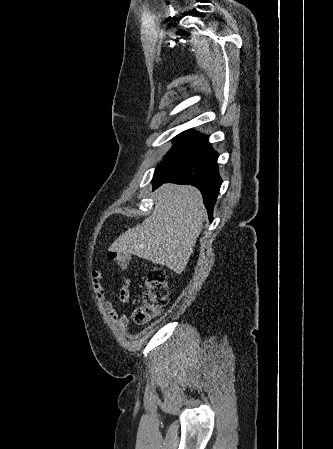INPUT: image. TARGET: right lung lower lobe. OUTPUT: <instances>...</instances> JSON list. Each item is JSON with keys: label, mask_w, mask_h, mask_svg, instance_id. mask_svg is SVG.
Here are the masks:
<instances>
[{"label": "right lung lower lobe", "mask_w": 333, "mask_h": 449, "mask_svg": "<svg viewBox=\"0 0 333 449\" xmlns=\"http://www.w3.org/2000/svg\"><path fill=\"white\" fill-rule=\"evenodd\" d=\"M218 153L208 136L198 134L167 156L156 168L154 188L163 183L189 184L197 187L212 221V211L222 180L217 165Z\"/></svg>", "instance_id": "1"}]
</instances>
